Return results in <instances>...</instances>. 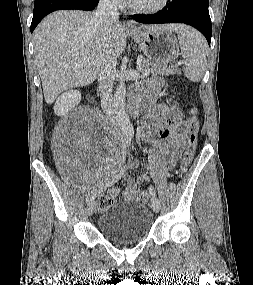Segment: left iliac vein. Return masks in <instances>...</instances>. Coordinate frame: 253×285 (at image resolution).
Segmentation results:
<instances>
[{
  "mask_svg": "<svg viewBox=\"0 0 253 285\" xmlns=\"http://www.w3.org/2000/svg\"><path fill=\"white\" fill-rule=\"evenodd\" d=\"M151 208L154 212H159L160 210V201L156 197H152L151 199Z\"/></svg>",
  "mask_w": 253,
  "mask_h": 285,
  "instance_id": "obj_1",
  "label": "left iliac vein"
}]
</instances>
